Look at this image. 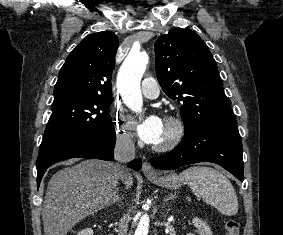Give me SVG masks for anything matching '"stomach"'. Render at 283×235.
I'll list each match as a JSON object with an SVG mask.
<instances>
[{
  "mask_svg": "<svg viewBox=\"0 0 283 235\" xmlns=\"http://www.w3.org/2000/svg\"><path fill=\"white\" fill-rule=\"evenodd\" d=\"M147 178L150 179L158 186L166 187L169 189H176L179 187L180 183L178 176L174 173L168 175H147Z\"/></svg>",
  "mask_w": 283,
  "mask_h": 235,
  "instance_id": "0dacf381",
  "label": "stomach"
}]
</instances>
